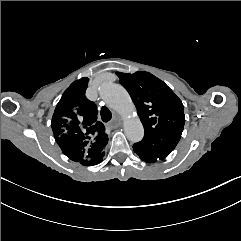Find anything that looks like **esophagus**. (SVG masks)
Here are the masks:
<instances>
[{"mask_svg":"<svg viewBox=\"0 0 241 241\" xmlns=\"http://www.w3.org/2000/svg\"><path fill=\"white\" fill-rule=\"evenodd\" d=\"M117 125H119V121H118L117 118H115L114 121H113V123L110 124V126H111L112 128H116Z\"/></svg>","mask_w":241,"mask_h":241,"instance_id":"esophagus-1","label":"esophagus"}]
</instances>
